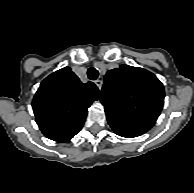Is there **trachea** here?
Segmentation results:
<instances>
[{"label":"trachea","mask_w":194,"mask_h":193,"mask_svg":"<svg viewBox=\"0 0 194 193\" xmlns=\"http://www.w3.org/2000/svg\"><path fill=\"white\" fill-rule=\"evenodd\" d=\"M87 75L90 80L94 81L98 77V71L95 68L91 67L88 69Z\"/></svg>","instance_id":"trachea-1"}]
</instances>
